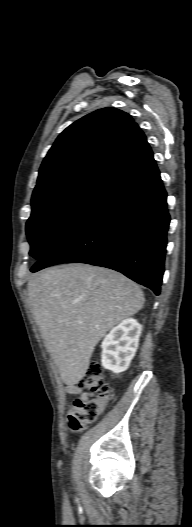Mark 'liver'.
I'll return each instance as SVG.
<instances>
[{
    "label": "liver",
    "instance_id": "6515ba94",
    "mask_svg": "<svg viewBox=\"0 0 192 527\" xmlns=\"http://www.w3.org/2000/svg\"><path fill=\"white\" fill-rule=\"evenodd\" d=\"M45 346L66 385L85 376L106 333L144 305L140 287L116 271L90 265L53 267L27 285Z\"/></svg>",
    "mask_w": 192,
    "mask_h": 527
}]
</instances>
